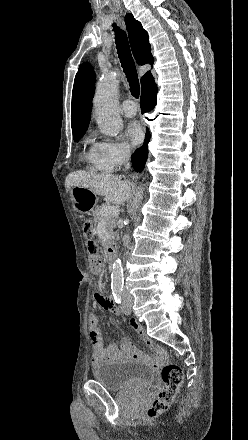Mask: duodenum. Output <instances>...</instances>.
<instances>
[{
    "label": "duodenum",
    "instance_id": "duodenum-1",
    "mask_svg": "<svg viewBox=\"0 0 248 440\" xmlns=\"http://www.w3.org/2000/svg\"><path fill=\"white\" fill-rule=\"evenodd\" d=\"M107 254H108L109 260H113L116 255V246L113 244H110L107 247Z\"/></svg>",
    "mask_w": 248,
    "mask_h": 440
}]
</instances>
